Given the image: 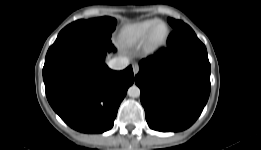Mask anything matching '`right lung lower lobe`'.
Here are the masks:
<instances>
[{
	"label": "right lung lower lobe",
	"instance_id": "98d812e1",
	"mask_svg": "<svg viewBox=\"0 0 261 150\" xmlns=\"http://www.w3.org/2000/svg\"><path fill=\"white\" fill-rule=\"evenodd\" d=\"M115 50L110 38L69 36L49 48L43 67L47 99L71 128L102 133L113 127L119 105L134 82L132 67L113 71L104 63Z\"/></svg>",
	"mask_w": 261,
	"mask_h": 150
}]
</instances>
